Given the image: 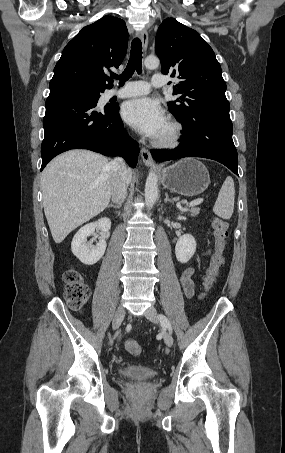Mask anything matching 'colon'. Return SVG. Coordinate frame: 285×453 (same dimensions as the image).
I'll return each instance as SVG.
<instances>
[{
    "label": "colon",
    "mask_w": 285,
    "mask_h": 453,
    "mask_svg": "<svg viewBox=\"0 0 285 453\" xmlns=\"http://www.w3.org/2000/svg\"><path fill=\"white\" fill-rule=\"evenodd\" d=\"M212 229L215 240V251L211 255L209 264L203 276V293L206 296L215 284L220 269L224 264L223 252L228 236V225L220 219L214 218L212 221ZM64 281V297L70 308L73 310H81L88 301L89 286L85 277L74 267H68L63 273ZM126 350L132 355H139L142 352V346L135 339H127L125 341Z\"/></svg>",
    "instance_id": "1"
}]
</instances>
